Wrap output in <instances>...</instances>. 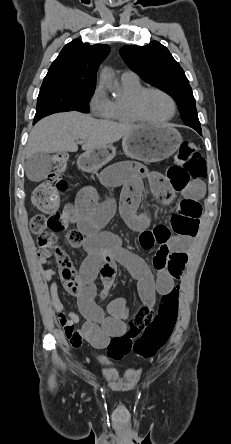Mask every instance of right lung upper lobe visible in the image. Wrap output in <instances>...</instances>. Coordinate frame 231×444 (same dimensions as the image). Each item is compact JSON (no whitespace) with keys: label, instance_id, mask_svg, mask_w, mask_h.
<instances>
[{"label":"right lung upper lobe","instance_id":"1","mask_svg":"<svg viewBox=\"0 0 231 444\" xmlns=\"http://www.w3.org/2000/svg\"><path fill=\"white\" fill-rule=\"evenodd\" d=\"M110 52L105 44L90 45L75 39L66 44L50 66L43 88H95L96 72Z\"/></svg>","mask_w":231,"mask_h":444}]
</instances>
